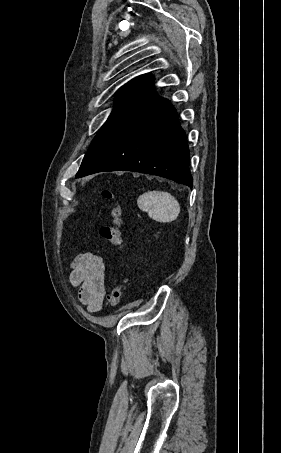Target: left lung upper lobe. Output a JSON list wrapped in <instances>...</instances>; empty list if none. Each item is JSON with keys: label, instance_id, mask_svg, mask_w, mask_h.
I'll return each mask as SVG.
<instances>
[{"label": "left lung upper lobe", "instance_id": "left-lung-upper-lobe-1", "mask_svg": "<svg viewBox=\"0 0 281 453\" xmlns=\"http://www.w3.org/2000/svg\"><path fill=\"white\" fill-rule=\"evenodd\" d=\"M152 83L153 77L144 74L132 79L117 91L116 105L110 117L92 141L80 168H84L96 156L111 135L144 98Z\"/></svg>", "mask_w": 281, "mask_h": 453}]
</instances>
